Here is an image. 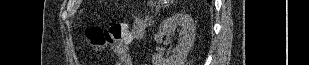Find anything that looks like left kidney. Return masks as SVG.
Masks as SVG:
<instances>
[{
    "mask_svg": "<svg viewBox=\"0 0 309 65\" xmlns=\"http://www.w3.org/2000/svg\"><path fill=\"white\" fill-rule=\"evenodd\" d=\"M178 27L181 28L182 36L178 38L176 51L168 59L163 58L161 54H154L152 57L153 65H184L195 41L194 21L188 14L179 13L165 19L159 25L154 40L157 43H162L163 38L172 35L174 29Z\"/></svg>",
    "mask_w": 309,
    "mask_h": 65,
    "instance_id": "left-kidney-1",
    "label": "left kidney"
}]
</instances>
